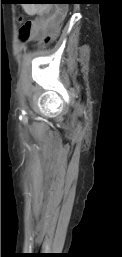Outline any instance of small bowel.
I'll return each instance as SVG.
<instances>
[{"instance_id":"1","label":"small bowel","mask_w":122,"mask_h":257,"mask_svg":"<svg viewBox=\"0 0 122 257\" xmlns=\"http://www.w3.org/2000/svg\"><path fill=\"white\" fill-rule=\"evenodd\" d=\"M24 10L28 15L34 16V19L27 22V38L30 40H41L45 38L48 30H52L55 21L59 19L57 14L60 11L59 8L28 4L24 6Z\"/></svg>"}]
</instances>
